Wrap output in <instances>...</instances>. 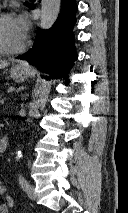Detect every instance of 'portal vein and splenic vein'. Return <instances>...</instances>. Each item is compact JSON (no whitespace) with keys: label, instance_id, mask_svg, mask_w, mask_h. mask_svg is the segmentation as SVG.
<instances>
[{"label":"portal vein and splenic vein","instance_id":"obj_1","mask_svg":"<svg viewBox=\"0 0 128 213\" xmlns=\"http://www.w3.org/2000/svg\"><path fill=\"white\" fill-rule=\"evenodd\" d=\"M5 103V101L4 100H0V104H4Z\"/></svg>","mask_w":128,"mask_h":213}]
</instances>
